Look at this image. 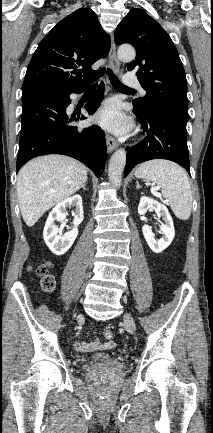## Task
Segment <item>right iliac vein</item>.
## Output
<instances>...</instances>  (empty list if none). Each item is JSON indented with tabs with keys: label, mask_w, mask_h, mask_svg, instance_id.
Returning <instances> with one entry per match:
<instances>
[{
	"label": "right iliac vein",
	"mask_w": 213,
	"mask_h": 433,
	"mask_svg": "<svg viewBox=\"0 0 213 433\" xmlns=\"http://www.w3.org/2000/svg\"><path fill=\"white\" fill-rule=\"evenodd\" d=\"M79 318H83V316H82V315H79Z\"/></svg>",
	"instance_id": "63e3f726"
}]
</instances>
